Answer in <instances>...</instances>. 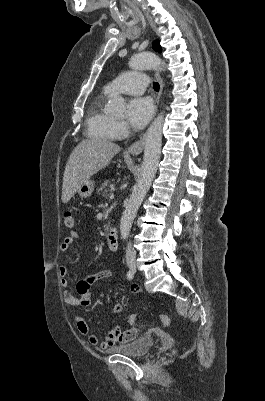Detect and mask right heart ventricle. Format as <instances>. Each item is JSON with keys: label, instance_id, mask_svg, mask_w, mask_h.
<instances>
[{"label": "right heart ventricle", "instance_id": "1", "mask_svg": "<svg viewBox=\"0 0 265 401\" xmlns=\"http://www.w3.org/2000/svg\"><path fill=\"white\" fill-rule=\"evenodd\" d=\"M111 96L106 87L98 93L90 96L87 107V131L95 138L104 141L117 140L114 131V123L116 122L111 114L107 111V101Z\"/></svg>", "mask_w": 265, "mask_h": 401}]
</instances>
